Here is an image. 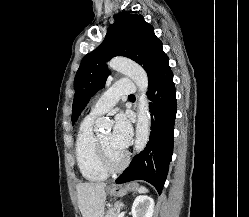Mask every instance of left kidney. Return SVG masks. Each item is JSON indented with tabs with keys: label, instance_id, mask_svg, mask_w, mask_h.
<instances>
[{
	"label": "left kidney",
	"instance_id": "obj_1",
	"mask_svg": "<svg viewBox=\"0 0 249 217\" xmlns=\"http://www.w3.org/2000/svg\"><path fill=\"white\" fill-rule=\"evenodd\" d=\"M154 212V200L147 195H139L132 205L133 217H152Z\"/></svg>",
	"mask_w": 249,
	"mask_h": 217
}]
</instances>
